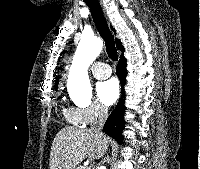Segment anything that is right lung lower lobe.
Returning <instances> with one entry per match:
<instances>
[{
  "instance_id": "right-lung-lower-lobe-1",
  "label": "right lung lower lobe",
  "mask_w": 200,
  "mask_h": 169,
  "mask_svg": "<svg viewBox=\"0 0 200 169\" xmlns=\"http://www.w3.org/2000/svg\"><path fill=\"white\" fill-rule=\"evenodd\" d=\"M125 64H126V59L124 57H120L116 74L119 77L122 86L125 85V77L127 73ZM124 112H125L124 97L122 96L116 108L108 117L104 125L105 133L114 138L115 140H117L119 143H122L123 141L122 130L124 129L125 125V121L123 120Z\"/></svg>"
}]
</instances>
